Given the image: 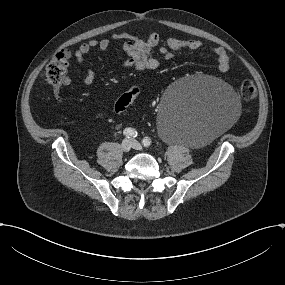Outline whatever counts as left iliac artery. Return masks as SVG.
<instances>
[{
  "label": "left iliac artery",
  "mask_w": 285,
  "mask_h": 285,
  "mask_svg": "<svg viewBox=\"0 0 285 285\" xmlns=\"http://www.w3.org/2000/svg\"><path fill=\"white\" fill-rule=\"evenodd\" d=\"M142 143H143L144 146L149 147V146L151 145V140H150V138L145 137V138L142 140Z\"/></svg>",
  "instance_id": "obj_1"
}]
</instances>
